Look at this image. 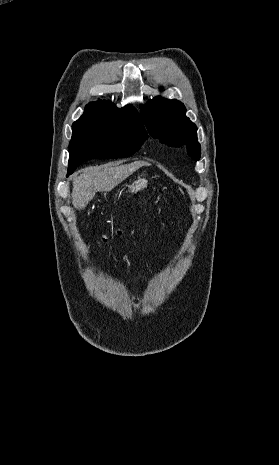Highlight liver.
Here are the masks:
<instances>
[{"instance_id":"obj_1","label":"liver","mask_w":279,"mask_h":465,"mask_svg":"<svg viewBox=\"0 0 279 465\" xmlns=\"http://www.w3.org/2000/svg\"><path fill=\"white\" fill-rule=\"evenodd\" d=\"M145 161L116 166L112 163L88 167L73 177L72 204L77 210L85 209L97 192H109L141 167Z\"/></svg>"}]
</instances>
